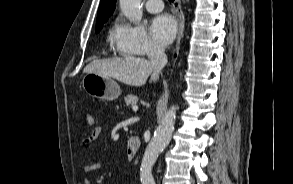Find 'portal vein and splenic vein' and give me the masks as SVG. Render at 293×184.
<instances>
[{"label":"portal vein and splenic vein","instance_id":"1","mask_svg":"<svg viewBox=\"0 0 293 184\" xmlns=\"http://www.w3.org/2000/svg\"><path fill=\"white\" fill-rule=\"evenodd\" d=\"M132 109H133V111H138V106L135 105L132 107Z\"/></svg>","mask_w":293,"mask_h":184}]
</instances>
